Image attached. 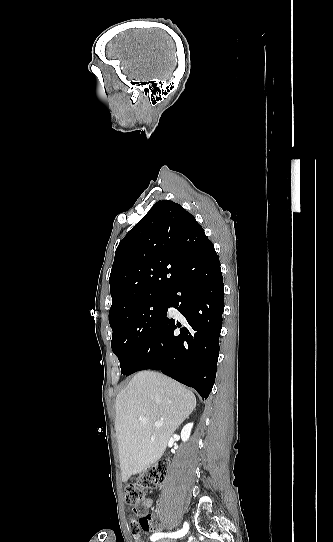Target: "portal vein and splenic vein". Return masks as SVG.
Listing matches in <instances>:
<instances>
[{"label":"portal vein and splenic vein","mask_w":333,"mask_h":542,"mask_svg":"<svg viewBox=\"0 0 333 542\" xmlns=\"http://www.w3.org/2000/svg\"><path fill=\"white\" fill-rule=\"evenodd\" d=\"M140 422H143V424H146L148 422L147 418H139ZM155 426H164V422H155Z\"/></svg>","instance_id":"1"}]
</instances>
